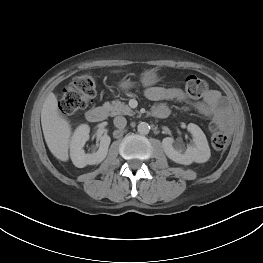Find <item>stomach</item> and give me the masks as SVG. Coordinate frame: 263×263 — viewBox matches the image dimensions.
<instances>
[{"label": "stomach", "mask_w": 263, "mask_h": 263, "mask_svg": "<svg viewBox=\"0 0 263 263\" xmlns=\"http://www.w3.org/2000/svg\"><path fill=\"white\" fill-rule=\"evenodd\" d=\"M159 81L158 75L155 70H147L142 74L141 82L144 86H151ZM119 87L122 90H128L133 87V83L130 80H124L119 83Z\"/></svg>", "instance_id": "stomach-1"}]
</instances>
